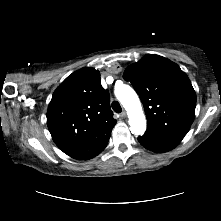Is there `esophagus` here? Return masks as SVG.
I'll use <instances>...</instances> for the list:
<instances>
[{
  "label": "esophagus",
  "mask_w": 221,
  "mask_h": 221,
  "mask_svg": "<svg viewBox=\"0 0 221 221\" xmlns=\"http://www.w3.org/2000/svg\"><path fill=\"white\" fill-rule=\"evenodd\" d=\"M120 116H121L122 118H125V117H126V112L123 111V112L120 114Z\"/></svg>",
  "instance_id": "esophagus-1"
}]
</instances>
